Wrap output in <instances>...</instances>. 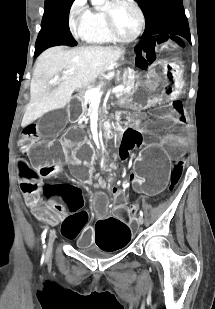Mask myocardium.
<instances>
[{"instance_id":"obj_1","label":"myocardium","mask_w":215,"mask_h":309,"mask_svg":"<svg viewBox=\"0 0 215 309\" xmlns=\"http://www.w3.org/2000/svg\"><path fill=\"white\" fill-rule=\"evenodd\" d=\"M120 7H126L128 8L134 16V29L133 32H131V29L129 27H114V20L111 19V16L108 14L106 16V30L107 35L109 37L115 38L116 43H130L133 42L135 39L138 38L142 31L143 27V16L141 11L132 4H122ZM113 9V8H112Z\"/></svg>"}]
</instances>
